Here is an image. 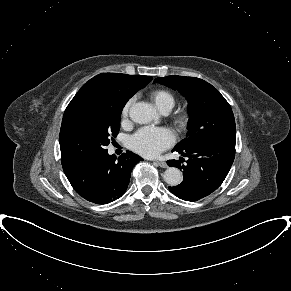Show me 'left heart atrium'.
Returning <instances> with one entry per match:
<instances>
[{"label":"left heart atrium","mask_w":291,"mask_h":291,"mask_svg":"<svg viewBox=\"0 0 291 291\" xmlns=\"http://www.w3.org/2000/svg\"><path fill=\"white\" fill-rule=\"evenodd\" d=\"M174 142L173 133L162 127L140 128L129 139V147L137 153L154 157L169 148Z\"/></svg>","instance_id":"39dd6f15"}]
</instances>
